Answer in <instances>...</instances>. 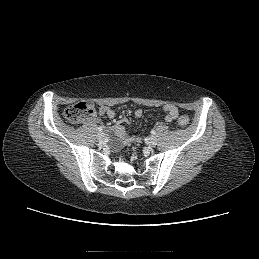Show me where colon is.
Segmentation results:
<instances>
[{
    "mask_svg": "<svg viewBox=\"0 0 259 259\" xmlns=\"http://www.w3.org/2000/svg\"><path fill=\"white\" fill-rule=\"evenodd\" d=\"M96 105L89 101H81L69 105L64 110V117L70 123L76 124L84 119H88L96 114ZM178 124L186 127L189 124V118L186 115H178Z\"/></svg>",
    "mask_w": 259,
    "mask_h": 259,
    "instance_id": "obj_1",
    "label": "colon"
}]
</instances>
